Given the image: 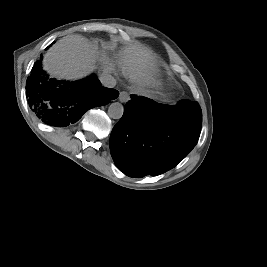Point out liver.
<instances>
[{
  "label": "liver",
  "mask_w": 267,
  "mask_h": 267,
  "mask_svg": "<svg viewBox=\"0 0 267 267\" xmlns=\"http://www.w3.org/2000/svg\"><path fill=\"white\" fill-rule=\"evenodd\" d=\"M97 61L102 62L104 72L113 70L114 64L98 51L96 45L81 35H69L58 40L47 51L43 68L52 77L73 80L89 75ZM118 64L122 72L138 85L151 79L155 67L152 52L139 42L123 48Z\"/></svg>",
  "instance_id": "obj_1"
}]
</instances>
